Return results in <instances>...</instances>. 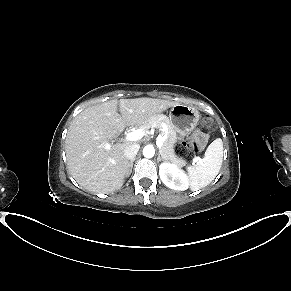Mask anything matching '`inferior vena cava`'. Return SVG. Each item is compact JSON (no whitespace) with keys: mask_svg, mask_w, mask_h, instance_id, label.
<instances>
[{"mask_svg":"<svg viewBox=\"0 0 291 291\" xmlns=\"http://www.w3.org/2000/svg\"><path fill=\"white\" fill-rule=\"evenodd\" d=\"M139 144H130L124 149V156L127 159H134L139 151Z\"/></svg>","mask_w":291,"mask_h":291,"instance_id":"1","label":"inferior vena cava"}]
</instances>
